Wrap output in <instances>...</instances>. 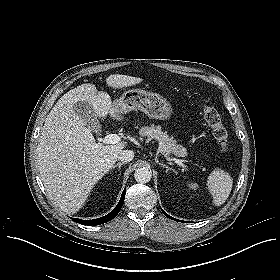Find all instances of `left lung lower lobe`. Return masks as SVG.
I'll return each mask as SVG.
<instances>
[{"label": "left lung lower lobe", "mask_w": 280, "mask_h": 280, "mask_svg": "<svg viewBox=\"0 0 280 280\" xmlns=\"http://www.w3.org/2000/svg\"><path fill=\"white\" fill-rule=\"evenodd\" d=\"M162 212L164 213L165 216L169 217L170 219H173L171 216H169L167 213H165L163 210Z\"/></svg>", "instance_id": "1"}]
</instances>
